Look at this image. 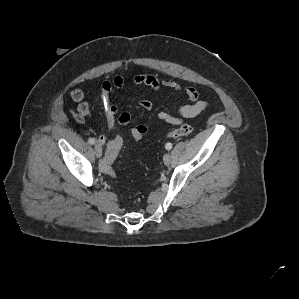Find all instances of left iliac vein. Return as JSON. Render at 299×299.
I'll return each instance as SVG.
<instances>
[{"mask_svg": "<svg viewBox=\"0 0 299 299\" xmlns=\"http://www.w3.org/2000/svg\"><path fill=\"white\" fill-rule=\"evenodd\" d=\"M163 161H164V164H165V165H169L170 162H171V157H170V155H169V154H165V155L163 156Z\"/></svg>", "mask_w": 299, "mask_h": 299, "instance_id": "1", "label": "left iliac vein"}]
</instances>
